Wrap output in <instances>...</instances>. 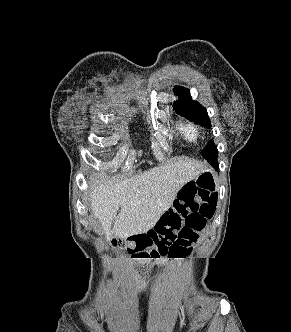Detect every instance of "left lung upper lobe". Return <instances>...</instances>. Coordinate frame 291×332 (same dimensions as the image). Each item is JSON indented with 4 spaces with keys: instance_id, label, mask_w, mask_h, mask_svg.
I'll return each mask as SVG.
<instances>
[{
    "instance_id": "left-lung-upper-lobe-1",
    "label": "left lung upper lobe",
    "mask_w": 291,
    "mask_h": 332,
    "mask_svg": "<svg viewBox=\"0 0 291 332\" xmlns=\"http://www.w3.org/2000/svg\"><path fill=\"white\" fill-rule=\"evenodd\" d=\"M174 91L179 96V100L174 104L176 112L191 121L210 128L211 123L207 110L200 103L192 100L189 90L184 87H175ZM201 154L211 165L217 162L218 150L213 140L201 151Z\"/></svg>"
}]
</instances>
